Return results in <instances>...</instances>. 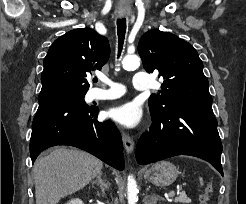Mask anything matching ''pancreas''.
Wrapping results in <instances>:
<instances>
[{"instance_id": "obj_1", "label": "pancreas", "mask_w": 246, "mask_h": 204, "mask_svg": "<svg viewBox=\"0 0 246 204\" xmlns=\"http://www.w3.org/2000/svg\"><path fill=\"white\" fill-rule=\"evenodd\" d=\"M175 202H180V203H190L191 199L189 197H187V195L185 193H180V195H178L175 198Z\"/></svg>"}]
</instances>
